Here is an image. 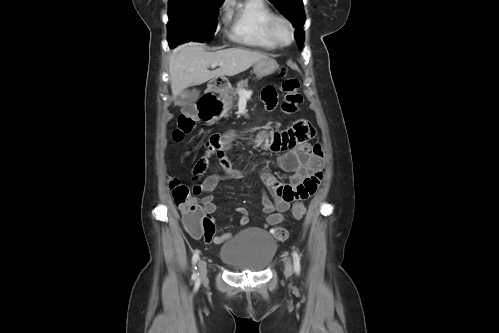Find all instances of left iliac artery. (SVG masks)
Here are the masks:
<instances>
[{"label": "left iliac artery", "mask_w": 499, "mask_h": 333, "mask_svg": "<svg viewBox=\"0 0 499 333\" xmlns=\"http://www.w3.org/2000/svg\"><path fill=\"white\" fill-rule=\"evenodd\" d=\"M293 264H294V270L297 274L300 273V256L297 253V251H293Z\"/></svg>", "instance_id": "left-iliac-artery-1"}]
</instances>
